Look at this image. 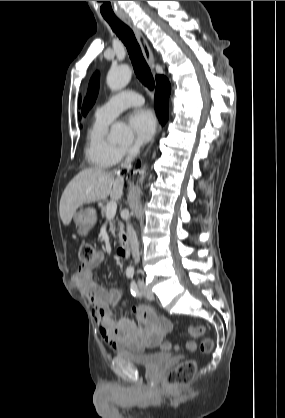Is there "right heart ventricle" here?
I'll return each mask as SVG.
<instances>
[{"label": "right heart ventricle", "mask_w": 285, "mask_h": 418, "mask_svg": "<svg viewBox=\"0 0 285 418\" xmlns=\"http://www.w3.org/2000/svg\"><path fill=\"white\" fill-rule=\"evenodd\" d=\"M110 121L95 117L87 131L85 156L95 168H108L118 162V146L107 136Z\"/></svg>", "instance_id": "e07e8e85"}]
</instances>
